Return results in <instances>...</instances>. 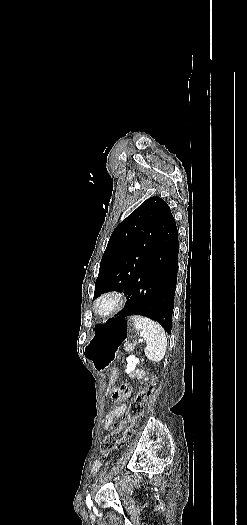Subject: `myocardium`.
<instances>
[{
  "label": "myocardium",
  "mask_w": 247,
  "mask_h": 525,
  "mask_svg": "<svg viewBox=\"0 0 247 525\" xmlns=\"http://www.w3.org/2000/svg\"><path fill=\"white\" fill-rule=\"evenodd\" d=\"M125 301V295L118 289H106L102 291L94 300V312L98 316H107L117 312ZM101 302H106L104 307H100Z\"/></svg>",
  "instance_id": "myocardium-1"
}]
</instances>
